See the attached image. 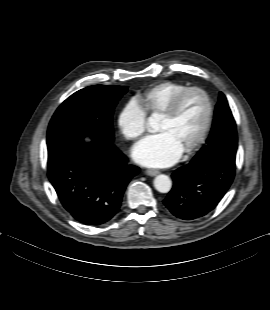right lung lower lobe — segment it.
<instances>
[{
  "instance_id": "right-lung-lower-lobe-1",
  "label": "right lung lower lobe",
  "mask_w": 270,
  "mask_h": 310,
  "mask_svg": "<svg viewBox=\"0 0 270 310\" xmlns=\"http://www.w3.org/2000/svg\"><path fill=\"white\" fill-rule=\"evenodd\" d=\"M47 146L48 177L63 207L82 224L111 220L139 168L113 143L97 139L51 137Z\"/></svg>"
}]
</instances>
